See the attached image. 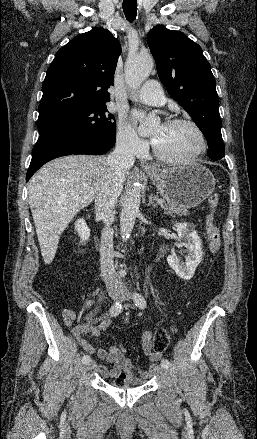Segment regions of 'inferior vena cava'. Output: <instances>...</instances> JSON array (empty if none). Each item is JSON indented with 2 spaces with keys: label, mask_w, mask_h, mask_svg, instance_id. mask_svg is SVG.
<instances>
[{
  "label": "inferior vena cava",
  "mask_w": 257,
  "mask_h": 439,
  "mask_svg": "<svg viewBox=\"0 0 257 439\" xmlns=\"http://www.w3.org/2000/svg\"><path fill=\"white\" fill-rule=\"evenodd\" d=\"M108 174L96 194L95 212L105 224L101 236V271L107 288H122V281L114 266L113 210L123 188V176L126 169L134 163V147L125 142H119L115 150L106 158Z\"/></svg>",
  "instance_id": "1"
}]
</instances>
